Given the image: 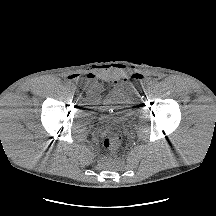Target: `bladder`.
I'll return each instance as SVG.
<instances>
[{
	"mask_svg": "<svg viewBox=\"0 0 216 216\" xmlns=\"http://www.w3.org/2000/svg\"><path fill=\"white\" fill-rule=\"evenodd\" d=\"M84 99L91 105L93 117L99 121L121 119L134 110L133 101L125 92L114 91L108 86L97 88L93 95L92 90L88 89L84 92Z\"/></svg>",
	"mask_w": 216,
	"mask_h": 216,
	"instance_id": "31cf9c89",
	"label": "bladder"
}]
</instances>
